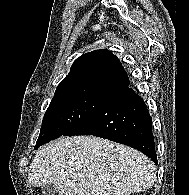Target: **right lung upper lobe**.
<instances>
[{"instance_id": "cb5924a9", "label": "right lung upper lobe", "mask_w": 189, "mask_h": 195, "mask_svg": "<svg viewBox=\"0 0 189 195\" xmlns=\"http://www.w3.org/2000/svg\"><path fill=\"white\" fill-rule=\"evenodd\" d=\"M129 84L119 59L107 50H95L74 61L55 93L92 90L111 94Z\"/></svg>"}]
</instances>
